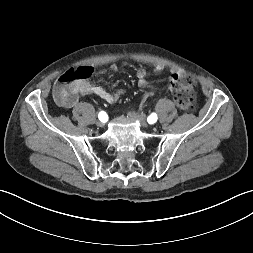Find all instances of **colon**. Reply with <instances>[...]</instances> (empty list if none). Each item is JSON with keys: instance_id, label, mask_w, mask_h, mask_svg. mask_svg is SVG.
<instances>
[{"instance_id": "5ec220e1", "label": "colon", "mask_w": 253, "mask_h": 253, "mask_svg": "<svg viewBox=\"0 0 253 253\" xmlns=\"http://www.w3.org/2000/svg\"><path fill=\"white\" fill-rule=\"evenodd\" d=\"M91 70L87 67L71 69L60 75L55 87L54 97L60 104L74 99V84L89 77ZM195 79L190 75H182L170 81V90L174 94L177 106L184 111H194L197 107L194 93ZM156 90H149L140 97L138 107L144 108L149 99L156 97Z\"/></svg>"}]
</instances>
